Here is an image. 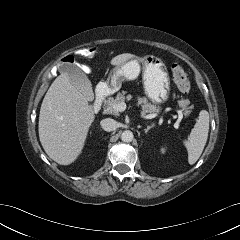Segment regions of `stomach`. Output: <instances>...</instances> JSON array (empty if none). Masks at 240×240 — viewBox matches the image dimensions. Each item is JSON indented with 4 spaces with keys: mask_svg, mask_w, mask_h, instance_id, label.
I'll return each instance as SVG.
<instances>
[{
    "mask_svg": "<svg viewBox=\"0 0 240 240\" xmlns=\"http://www.w3.org/2000/svg\"><path fill=\"white\" fill-rule=\"evenodd\" d=\"M142 70L144 93L155 104L164 103L170 92V79L163 61L153 55L135 57L114 68L107 78V85L116 91L122 82L138 78Z\"/></svg>",
    "mask_w": 240,
    "mask_h": 240,
    "instance_id": "1",
    "label": "stomach"
}]
</instances>
